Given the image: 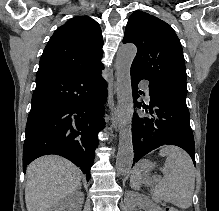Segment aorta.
Returning <instances> with one entry per match:
<instances>
[{"instance_id": "1", "label": "aorta", "mask_w": 219, "mask_h": 211, "mask_svg": "<svg viewBox=\"0 0 219 211\" xmlns=\"http://www.w3.org/2000/svg\"><path fill=\"white\" fill-rule=\"evenodd\" d=\"M136 53L135 45L125 44L119 48L116 57L118 118L120 123L116 170L120 175H126L131 171L134 159L131 131L133 98L130 71Z\"/></svg>"}]
</instances>
